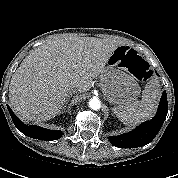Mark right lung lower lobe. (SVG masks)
I'll use <instances>...</instances> for the list:
<instances>
[{
	"mask_svg": "<svg viewBox=\"0 0 178 178\" xmlns=\"http://www.w3.org/2000/svg\"><path fill=\"white\" fill-rule=\"evenodd\" d=\"M7 108L15 126L26 136L35 139H40V140H48V141L59 139L62 136L61 131L49 130L35 125L25 126L16 117V115L13 113L10 107L7 106Z\"/></svg>",
	"mask_w": 178,
	"mask_h": 178,
	"instance_id": "obj_1",
	"label": "right lung lower lobe"
}]
</instances>
